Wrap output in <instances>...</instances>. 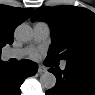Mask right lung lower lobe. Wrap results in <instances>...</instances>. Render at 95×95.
Wrapping results in <instances>:
<instances>
[{"mask_svg": "<svg viewBox=\"0 0 95 95\" xmlns=\"http://www.w3.org/2000/svg\"><path fill=\"white\" fill-rule=\"evenodd\" d=\"M37 70V64L30 60H22L16 65L0 61V95H20L23 81Z\"/></svg>", "mask_w": 95, "mask_h": 95, "instance_id": "1", "label": "right lung lower lobe"}]
</instances>
